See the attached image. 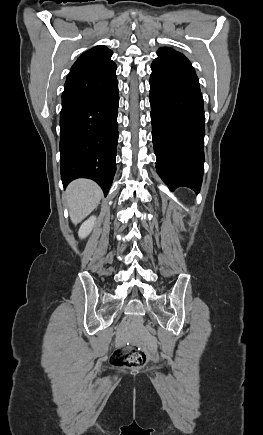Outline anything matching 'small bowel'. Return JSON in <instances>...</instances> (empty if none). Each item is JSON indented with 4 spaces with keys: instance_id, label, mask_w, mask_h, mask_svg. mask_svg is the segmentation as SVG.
Masks as SVG:
<instances>
[{
    "instance_id": "obj_1",
    "label": "small bowel",
    "mask_w": 263,
    "mask_h": 435,
    "mask_svg": "<svg viewBox=\"0 0 263 435\" xmlns=\"http://www.w3.org/2000/svg\"><path fill=\"white\" fill-rule=\"evenodd\" d=\"M138 326H142V321L140 319L136 320ZM146 339H151V334H146ZM126 340L125 333H121L118 337V342L123 343ZM144 348L150 350V359L152 361H157L159 359V354L155 352V343L153 341H146L144 343Z\"/></svg>"
}]
</instances>
